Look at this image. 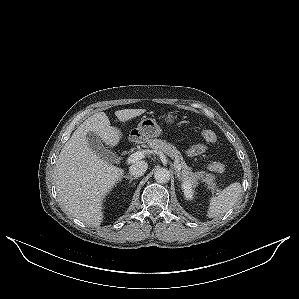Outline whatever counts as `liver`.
<instances>
[{"instance_id":"6515ba94","label":"liver","mask_w":299,"mask_h":299,"mask_svg":"<svg viewBox=\"0 0 299 299\" xmlns=\"http://www.w3.org/2000/svg\"><path fill=\"white\" fill-rule=\"evenodd\" d=\"M145 109L115 111L121 122L141 114ZM104 112L86 119L62 148L54 169L57 197L62 210L87 225L97 227L103 220V199L123 177L124 170L101 159L88 145V132L96 133L107 145L118 144L122 133L110 126Z\"/></svg>"}]
</instances>
